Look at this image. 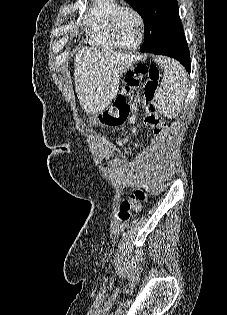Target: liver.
<instances>
[{"instance_id": "6515ba94", "label": "liver", "mask_w": 227, "mask_h": 315, "mask_svg": "<svg viewBox=\"0 0 227 315\" xmlns=\"http://www.w3.org/2000/svg\"><path fill=\"white\" fill-rule=\"evenodd\" d=\"M135 56L83 48L75 56V90L79 103L89 114L104 111L115 99L122 74L134 64Z\"/></svg>"}]
</instances>
